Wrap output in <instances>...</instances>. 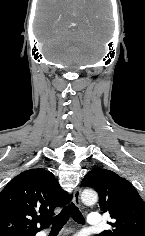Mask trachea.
<instances>
[{
  "label": "trachea",
  "instance_id": "3493384b",
  "mask_svg": "<svg viewBox=\"0 0 145 236\" xmlns=\"http://www.w3.org/2000/svg\"><path fill=\"white\" fill-rule=\"evenodd\" d=\"M70 215L75 222L85 224V219L82 213L78 207L71 203L68 207L64 208L59 215L52 219V229H61L64 224H66Z\"/></svg>",
  "mask_w": 145,
  "mask_h": 236
}]
</instances>
